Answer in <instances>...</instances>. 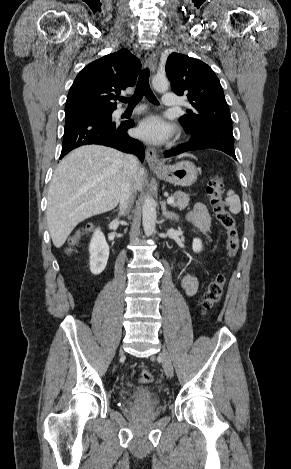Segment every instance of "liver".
Instances as JSON below:
<instances>
[{
  "mask_svg": "<svg viewBox=\"0 0 291 469\" xmlns=\"http://www.w3.org/2000/svg\"><path fill=\"white\" fill-rule=\"evenodd\" d=\"M125 157L112 148L86 145L73 150L59 163L48 191L46 212L56 248L63 246L80 222L118 205ZM144 177L145 170L139 167L134 179L137 190L142 188ZM103 191L106 194L100 195Z\"/></svg>",
  "mask_w": 291,
  "mask_h": 469,
  "instance_id": "1",
  "label": "liver"
}]
</instances>
